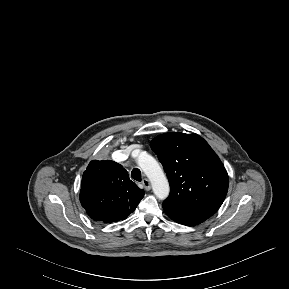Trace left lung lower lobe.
<instances>
[{"instance_id": "left-lung-lower-lobe-1", "label": "left lung lower lobe", "mask_w": 289, "mask_h": 289, "mask_svg": "<svg viewBox=\"0 0 289 289\" xmlns=\"http://www.w3.org/2000/svg\"><path fill=\"white\" fill-rule=\"evenodd\" d=\"M163 208L165 212L167 213V215L172 220L176 221L177 223L188 225V226L200 224L209 217L198 212L190 211V210L183 209V208L173 207L165 203H163Z\"/></svg>"}]
</instances>
